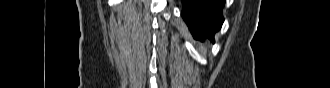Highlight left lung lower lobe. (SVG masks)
<instances>
[{
    "mask_svg": "<svg viewBox=\"0 0 330 88\" xmlns=\"http://www.w3.org/2000/svg\"><path fill=\"white\" fill-rule=\"evenodd\" d=\"M226 0H182V17L192 35L214 42V34L221 29L224 18L222 9Z\"/></svg>",
    "mask_w": 330,
    "mask_h": 88,
    "instance_id": "obj_1",
    "label": "left lung lower lobe"
}]
</instances>
